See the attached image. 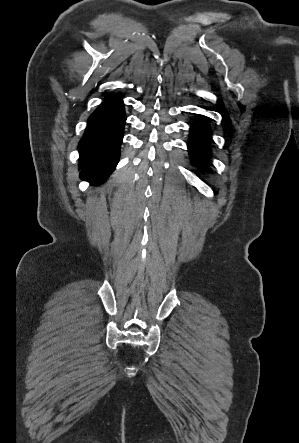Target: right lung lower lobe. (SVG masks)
<instances>
[{
  "mask_svg": "<svg viewBox=\"0 0 299 443\" xmlns=\"http://www.w3.org/2000/svg\"><path fill=\"white\" fill-rule=\"evenodd\" d=\"M125 121L123 101L116 95L106 97L89 117L79 144L84 180L100 184L114 170L119 160Z\"/></svg>",
  "mask_w": 299,
  "mask_h": 443,
  "instance_id": "obj_1",
  "label": "right lung lower lobe"
}]
</instances>
